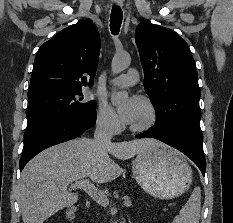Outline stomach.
<instances>
[{
    "instance_id": "stomach-1",
    "label": "stomach",
    "mask_w": 233,
    "mask_h": 223,
    "mask_svg": "<svg viewBox=\"0 0 233 223\" xmlns=\"http://www.w3.org/2000/svg\"><path fill=\"white\" fill-rule=\"evenodd\" d=\"M138 185L158 199H173L192 183V169L185 157L168 145H151L132 161Z\"/></svg>"
}]
</instances>
